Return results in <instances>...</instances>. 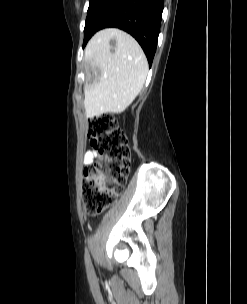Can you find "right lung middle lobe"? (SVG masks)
<instances>
[{
    "instance_id": "right-lung-middle-lobe-1",
    "label": "right lung middle lobe",
    "mask_w": 247,
    "mask_h": 304,
    "mask_svg": "<svg viewBox=\"0 0 247 304\" xmlns=\"http://www.w3.org/2000/svg\"><path fill=\"white\" fill-rule=\"evenodd\" d=\"M97 0H90L89 8H88V13L92 10L93 6L95 5Z\"/></svg>"
}]
</instances>
